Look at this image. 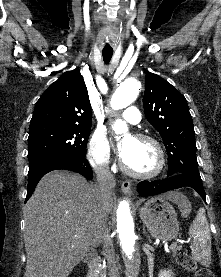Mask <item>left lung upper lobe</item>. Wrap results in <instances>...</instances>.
<instances>
[{
    "instance_id": "5c2ea615",
    "label": "left lung upper lobe",
    "mask_w": 221,
    "mask_h": 277,
    "mask_svg": "<svg viewBox=\"0 0 221 277\" xmlns=\"http://www.w3.org/2000/svg\"><path fill=\"white\" fill-rule=\"evenodd\" d=\"M143 106L147 120L164 141L169 160L167 175L201 178L195 132L185 97L160 76L147 72Z\"/></svg>"
}]
</instances>
